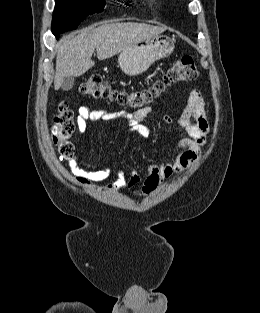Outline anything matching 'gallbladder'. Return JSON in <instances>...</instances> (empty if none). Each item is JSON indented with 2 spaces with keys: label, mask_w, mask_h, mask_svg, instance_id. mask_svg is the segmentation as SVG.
<instances>
[{
  "label": "gallbladder",
  "mask_w": 260,
  "mask_h": 313,
  "mask_svg": "<svg viewBox=\"0 0 260 313\" xmlns=\"http://www.w3.org/2000/svg\"><path fill=\"white\" fill-rule=\"evenodd\" d=\"M73 85H74V77L68 76V77L64 78L62 85H61V88L64 91H68V90L72 89Z\"/></svg>",
  "instance_id": "gallbladder-1"
}]
</instances>
